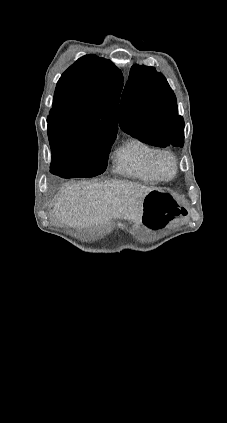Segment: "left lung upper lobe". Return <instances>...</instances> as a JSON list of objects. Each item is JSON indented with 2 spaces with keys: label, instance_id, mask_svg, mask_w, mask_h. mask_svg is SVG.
Returning a JSON list of instances; mask_svg holds the SVG:
<instances>
[{
  "label": "left lung upper lobe",
  "instance_id": "obj_1",
  "mask_svg": "<svg viewBox=\"0 0 227 423\" xmlns=\"http://www.w3.org/2000/svg\"><path fill=\"white\" fill-rule=\"evenodd\" d=\"M120 128L158 147H182L184 121L174 92L154 67L133 65L119 107Z\"/></svg>",
  "mask_w": 227,
  "mask_h": 423
}]
</instances>
